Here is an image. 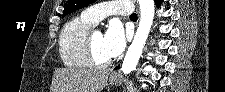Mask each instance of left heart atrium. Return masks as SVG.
Segmentation results:
<instances>
[{
    "instance_id": "39dd6f15",
    "label": "left heart atrium",
    "mask_w": 225,
    "mask_h": 92,
    "mask_svg": "<svg viewBox=\"0 0 225 92\" xmlns=\"http://www.w3.org/2000/svg\"><path fill=\"white\" fill-rule=\"evenodd\" d=\"M124 28L118 20L110 22L103 38L104 52L108 58L117 57L122 53L126 44Z\"/></svg>"
}]
</instances>
